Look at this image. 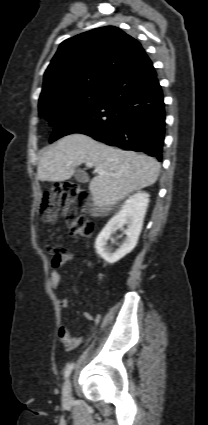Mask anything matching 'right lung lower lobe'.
I'll list each match as a JSON object with an SVG mask.
<instances>
[{
    "label": "right lung lower lobe",
    "mask_w": 208,
    "mask_h": 425,
    "mask_svg": "<svg viewBox=\"0 0 208 425\" xmlns=\"http://www.w3.org/2000/svg\"><path fill=\"white\" fill-rule=\"evenodd\" d=\"M72 133L162 159L163 94L147 55L116 77L99 102L57 122L50 142Z\"/></svg>",
    "instance_id": "1"
}]
</instances>
